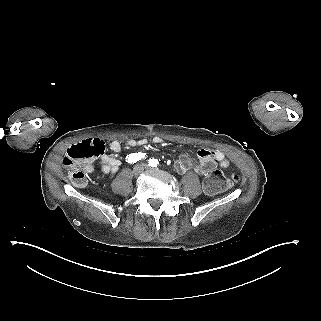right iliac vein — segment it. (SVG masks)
Listing matches in <instances>:
<instances>
[{
    "mask_svg": "<svg viewBox=\"0 0 321 321\" xmlns=\"http://www.w3.org/2000/svg\"><path fill=\"white\" fill-rule=\"evenodd\" d=\"M144 169H146V165L145 164H137V165L134 166L132 174L134 176H138L144 171Z\"/></svg>",
    "mask_w": 321,
    "mask_h": 321,
    "instance_id": "1",
    "label": "right iliac vein"
}]
</instances>
